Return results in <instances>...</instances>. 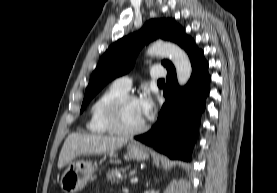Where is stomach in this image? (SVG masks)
<instances>
[{
	"mask_svg": "<svg viewBox=\"0 0 277 193\" xmlns=\"http://www.w3.org/2000/svg\"><path fill=\"white\" fill-rule=\"evenodd\" d=\"M128 159L144 161L149 158V151L137 142L131 141L127 146ZM96 164L85 160L71 162L64 170L60 185L64 193H76L93 178Z\"/></svg>",
	"mask_w": 277,
	"mask_h": 193,
	"instance_id": "stomach-1",
	"label": "stomach"
}]
</instances>
